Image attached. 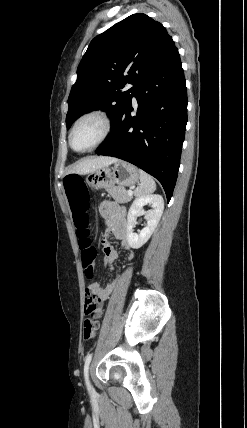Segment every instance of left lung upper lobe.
Masks as SVG:
<instances>
[{
  "label": "left lung upper lobe",
  "mask_w": 247,
  "mask_h": 428,
  "mask_svg": "<svg viewBox=\"0 0 247 428\" xmlns=\"http://www.w3.org/2000/svg\"><path fill=\"white\" fill-rule=\"evenodd\" d=\"M175 49L163 25L145 14H133L95 37L68 98L67 129L93 109L108 111L115 122L144 76ZM127 83L134 86L126 90Z\"/></svg>",
  "instance_id": "5c2ea615"
}]
</instances>
